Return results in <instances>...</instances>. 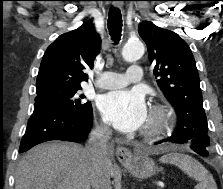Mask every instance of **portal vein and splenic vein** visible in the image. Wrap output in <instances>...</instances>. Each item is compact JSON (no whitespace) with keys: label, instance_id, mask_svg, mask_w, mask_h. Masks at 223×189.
<instances>
[{"label":"portal vein and splenic vein","instance_id":"obj_1","mask_svg":"<svg viewBox=\"0 0 223 189\" xmlns=\"http://www.w3.org/2000/svg\"><path fill=\"white\" fill-rule=\"evenodd\" d=\"M159 186H160V187H162V188L164 187V185H163V184H160Z\"/></svg>","mask_w":223,"mask_h":189}]
</instances>
